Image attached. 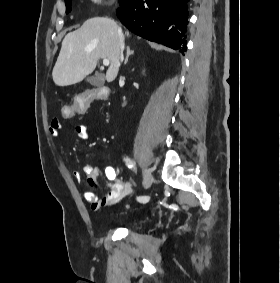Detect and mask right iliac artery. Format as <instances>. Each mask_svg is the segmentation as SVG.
<instances>
[{"label": "right iliac artery", "mask_w": 280, "mask_h": 283, "mask_svg": "<svg viewBox=\"0 0 280 283\" xmlns=\"http://www.w3.org/2000/svg\"><path fill=\"white\" fill-rule=\"evenodd\" d=\"M124 160L128 168L130 169L135 168L134 163L129 158H125ZM137 201L140 203H147L149 201V197L148 196H138Z\"/></svg>", "instance_id": "right-iliac-artery-1"}]
</instances>
